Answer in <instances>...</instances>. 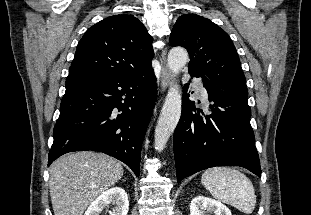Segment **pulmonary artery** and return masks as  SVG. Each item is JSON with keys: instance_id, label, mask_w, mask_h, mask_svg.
<instances>
[{"instance_id": "1", "label": "pulmonary artery", "mask_w": 311, "mask_h": 215, "mask_svg": "<svg viewBox=\"0 0 311 215\" xmlns=\"http://www.w3.org/2000/svg\"><path fill=\"white\" fill-rule=\"evenodd\" d=\"M195 89H196V92L198 93V95L206 100L208 98V93H207V90L206 88L204 87L203 83L200 82V81H196L195 82Z\"/></svg>"}]
</instances>
